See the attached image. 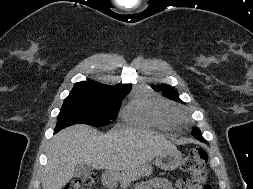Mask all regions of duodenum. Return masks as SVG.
<instances>
[{
  "label": "duodenum",
  "instance_id": "410a0bca",
  "mask_svg": "<svg viewBox=\"0 0 253 189\" xmlns=\"http://www.w3.org/2000/svg\"><path fill=\"white\" fill-rule=\"evenodd\" d=\"M103 184L107 187H110L114 183V173L110 170H107L103 173L102 178Z\"/></svg>",
  "mask_w": 253,
  "mask_h": 189
}]
</instances>
